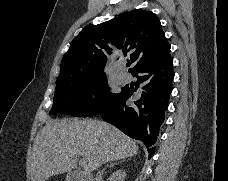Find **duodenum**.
Wrapping results in <instances>:
<instances>
[{
	"instance_id": "obj_1",
	"label": "duodenum",
	"mask_w": 228,
	"mask_h": 181,
	"mask_svg": "<svg viewBox=\"0 0 228 181\" xmlns=\"http://www.w3.org/2000/svg\"><path fill=\"white\" fill-rule=\"evenodd\" d=\"M68 177H69V181H82V179H84V174H80L77 172H68Z\"/></svg>"
}]
</instances>
